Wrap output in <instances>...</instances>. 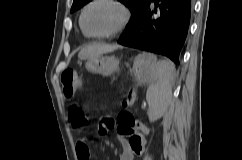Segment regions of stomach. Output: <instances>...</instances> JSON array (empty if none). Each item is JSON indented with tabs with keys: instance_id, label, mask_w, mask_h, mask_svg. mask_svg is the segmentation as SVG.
<instances>
[{
	"instance_id": "0dacf381",
	"label": "stomach",
	"mask_w": 242,
	"mask_h": 160,
	"mask_svg": "<svg viewBox=\"0 0 242 160\" xmlns=\"http://www.w3.org/2000/svg\"><path fill=\"white\" fill-rule=\"evenodd\" d=\"M119 66V61L113 56L100 55L93 59H88L85 64L87 71L95 74L109 76L114 73ZM133 72L140 83L149 82L152 78L150 69L149 54L143 53L135 57Z\"/></svg>"
}]
</instances>
